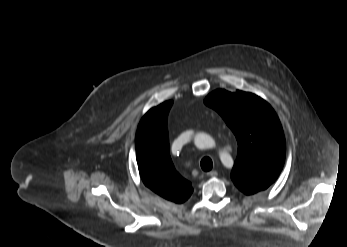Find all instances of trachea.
I'll use <instances>...</instances> for the list:
<instances>
[{
    "label": "trachea",
    "mask_w": 347,
    "mask_h": 247,
    "mask_svg": "<svg viewBox=\"0 0 347 247\" xmlns=\"http://www.w3.org/2000/svg\"><path fill=\"white\" fill-rule=\"evenodd\" d=\"M200 165H201L202 170L210 171L212 169V167H213V162H212V160L209 157H204L201 160Z\"/></svg>",
    "instance_id": "3493384b"
}]
</instances>
